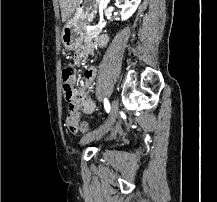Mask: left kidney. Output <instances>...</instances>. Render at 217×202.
I'll return each mask as SVG.
<instances>
[{"mask_svg":"<svg viewBox=\"0 0 217 202\" xmlns=\"http://www.w3.org/2000/svg\"><path fill=\"white\" fill-rule=\"evenodd\" d=\"M118 2L119 4L120 2H125L124 6H122L121 12V20L124 22V20H128V18H131V16H133L141 0H118Z\"/></svg>","mask_w":217,"mask_h":202,"instance_id":"5707ae66","label":"left kidney"}]
</instances>
